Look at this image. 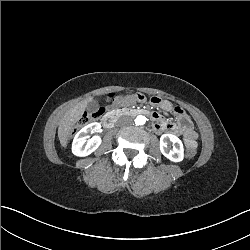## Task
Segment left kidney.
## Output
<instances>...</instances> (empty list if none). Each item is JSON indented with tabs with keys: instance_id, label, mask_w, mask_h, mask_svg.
<instances>
[{
	"instance_id": "left-kidney-1",
	"label": "left kidney",
	"mask_w": 250,
	"mask_h": 250,
	"mask_svg": "<svg viewBox=\"0 0 250 250\" xmlns=\"http://www.w3.org/2000/svg\"><path fill=\"white\" fill-rule=\"evenodd\" d=\"M174 145L173 150L167 148L168 143ZM160 151L161 153L173 162H180L184 157V148L181 140L173 134H163L160 138Z\"/></svg>"
}]
</instances>
